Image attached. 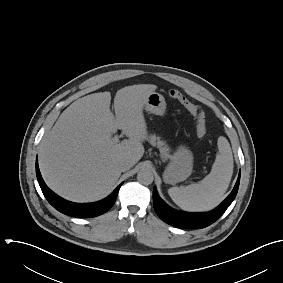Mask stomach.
<instances>
[{
  "label": "stomach",
  "instance_id": "1",
  "mask_svg": "<svg viewBox=\"0 0 283 283\" xmlns=\"http://www.w3.org/2000/svg\"><path fill=\"white\" fill-rule=\"evenodd\" d=\"M145 110L149 113L163 116L166 111V102L163 95L152 92L145 102ZM193 154L186 146H179L170 156V162L166 167L163 178L167 184H176L186 180L192 173Z\"/></svg>",
  "mask_w": 283,
  "mask_h": 283
}]
</instances>
